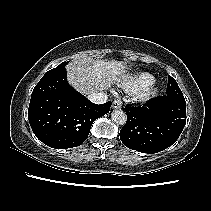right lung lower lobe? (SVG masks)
I'll list each match as a JSON object with an SVG mask.
<instances>
[{
	"label": "right lung lower lobe",
	"mask_w": 211,
	"mask_h": 211,
	"mask_svg": "<svg viewBox=\"0 0 211 211\" xmlns=\"http://www.w3.org/2000/svg\"><path fill=\"white\" fill-rule=\"evenodd\" d=\"M111 101L96 105L67 82L66 70L42 78L35 86L28 118L36 137L49 147L66 149L81 145L92 123L108 113Z\"/></svg>",
	"instance_id": "98d812e1"
}]
</instances>
